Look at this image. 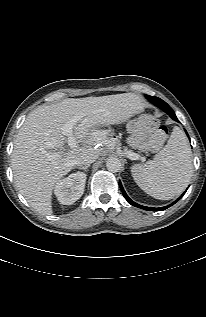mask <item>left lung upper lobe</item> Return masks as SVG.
Segmentation results:
<instances>
[{
	"label": "left lung upper lobe",
	"mask_w": 206,
	"mask_h": 317,
	"mask_svg": "<svg viewBox=\"0 0 206 317\" xmlns=\"http://www.w3.org/2000/svg\"><path fill=\"white\" fill-rule=\"evenodd\" d=\"M148 97V98H147ZM146 98L147 99H152V102L158 104L160 107L162 108H166L168 109V111H173L171 109V107L166 103L164 102L162 99L158 98V97H155V96H149V95H146Z\"/></svg>",
	"instance_id": "left-lung-upper-lobe-1"
}]
</instances>
